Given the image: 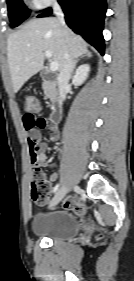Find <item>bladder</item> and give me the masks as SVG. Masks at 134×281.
<instances>
[{
	"instance_id": "obj_1",
	"label": "bladder",
	"mask_w": 134,
	"mask_h": 281,
	"mask_svg": "<svg viewBox=\"0 0 134 281\" xmlns=\"http://www.w3.org/2000/svg\"><path fill=\"white\" fill-rule=\"evenodd\" d=\"M81 222L70 211L55 210L34 217L32 231L36 236L51 240H68L81 231Z\"/></svg>"
}]
</instances>
